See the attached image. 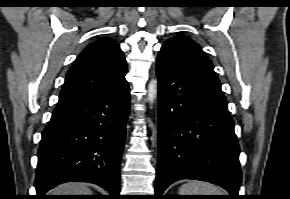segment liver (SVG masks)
Here are the masks:
<instances>
[{"label":"liver","mask_w":290,"mask_h":199,"mask_svg":"<svg viewBox=\"0 0 290 199\" xmlns=\"http://www.w3.org/2000/svg\"><path fill=\"white\" fill-rule=\"evenodd\" d=\"M54 195H92V191L86 184L66 183L53 190Z\"/></svg>","instance_id":"liver-1"}]
</instances>
